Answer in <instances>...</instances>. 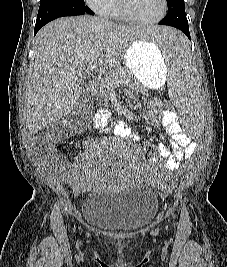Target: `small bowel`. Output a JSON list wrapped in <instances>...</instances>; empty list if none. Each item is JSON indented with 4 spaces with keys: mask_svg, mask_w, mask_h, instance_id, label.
I'll use <instances>...</instances> for the list:
<instances>
[{
    "mask_svg": "<svg viewBox=\"0 0 227 267\" xmlns=\"http://www.w3.org/2000/svg\"><path fill=\"white\" fill-rule=\"evenodd\" d=\"M148 105L149 121L154 124L162 125L170 135L169 145L160 144L156 146L155 150L157 154L151 155L150 160L153 164L159 165L162 170L178 169L181 161L188 159L192 155L197 147V141L192 137H185L176 113H168L167 109L162 108L161 102L158 99H150ZM108 120V111L103 109L99 110L94 116L93 126L97 130H103L106 128ZM114 132L118 136H129L139 139L138 136L130 131L127 124L123 121H117L115 123ZM83 143L86 144L88 141L86 140ZM163 159L165 160L164 163L162 162ZM59 168L62 175L80 189H84L91 178L87 164L85 163L73 165L68 161L61 160L59 162Z\"/></svg>",
    "mask_w": 227,
    "mask_h": 267,
    "instance_id": "obj_1",
    "label": "small bowel"
}]
</instances>
